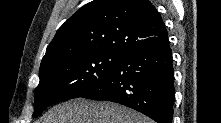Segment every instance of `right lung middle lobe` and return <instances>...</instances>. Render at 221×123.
Here are the masks:
<instances>
[{"label": "right lung middle lobe", "mask_w": 221, "mask_h": 123, "mask_svg": "<svg viewBox=\"0 0 221 123\" xmlns=\"http://www.w3.org/2000/svg\"><path fill=\"white\" fill-rule=\"evenodd\" d=\"M125 53L101 49L66 55L40 66L33 117L51 104L81 97L99 86L126 58Z\"/></svg>", "instance_id": "1"}]
</instances>
